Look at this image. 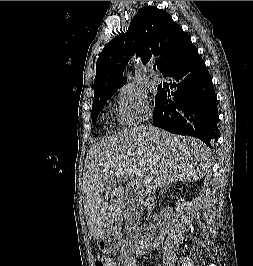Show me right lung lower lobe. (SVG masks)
Returning <instances> with one entry per match:
<instances>
[{
    "label": "right lung lower lobe",
    "mask_w": 253,
    "mask_h": 266,
    "mask_svg": "<svg viewBox=\"0 0 253 266\" xmlns=\"http://www.w3.org/2000/svg\"><path fill=\"white\" fill-rule=\"evenodd\" d=\"M162 75L170 77V88L176 91L170 95L158 90L153 124L174 134L197 137L211 148L218 140L216 95L196 47Z\"/></svg>",
    "instance_id": "98d812e1"
}]
</instances>
